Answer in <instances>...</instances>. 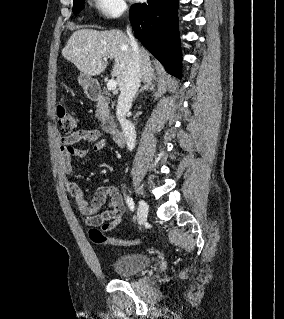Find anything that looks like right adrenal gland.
Listing matches in <instances>:
<instances>
[{"label": "right adrenal gland", "mask_w": 284, "mask_h": 319, "mask_svg": "<svg viewBox=\"0 0 284 319\" xmlns=\"http://www.w3.org/2000/svg\"><path fill=\"white\" fill-rule=\"evenodd\" d=\"M152 91L153 87H149L148 85H144L142 86L139 91L137 92L136 96L134 97V100L137 98V96L139 95V93L144 92V91Z\"/></svg>", "instance_id": "obj_1"}]
</instances>
